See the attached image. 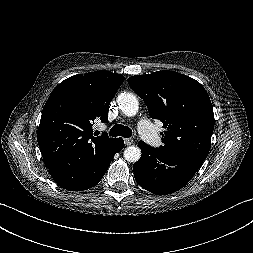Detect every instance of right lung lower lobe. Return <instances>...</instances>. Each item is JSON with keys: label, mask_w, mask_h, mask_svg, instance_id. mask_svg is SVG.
<instances>
[{"label": "right lung lower lobe", "mask_w": 253, "mask_h": 253, "mask_svg": "<svg viewBox=\"0 0 253 253\" xmlns=\"http://www.w3.org/2000/svg\"><path fill=\"white\" fill-rule=\"evenodd\" d=\"M124 147L122 138H116L105 150L66 165L48 168L55 182L70 191L86 190L97 185L107 171L114 155Z\"/></svg>", "instance_id": "1"}]
</instances>
